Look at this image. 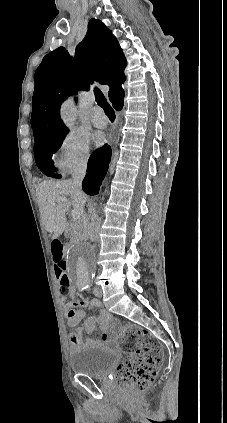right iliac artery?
<instances>
[{"label": "right iliac artery", "instance_id": "right-iliac-artery-1", "mask_svg": "<svg viewBox=\"0 0 227 423\" xmlns=\"http://www.w3.org/2000/svg\"><path fill=\"white\" fill-rule=\"evenodd\" d=\"M86 288H87V285H86V284H81V285H80V289H81V290H85Z\"/></svg>", "mask_w": 227, "mask_h": 423}]
</instances>
